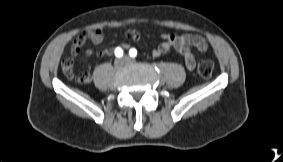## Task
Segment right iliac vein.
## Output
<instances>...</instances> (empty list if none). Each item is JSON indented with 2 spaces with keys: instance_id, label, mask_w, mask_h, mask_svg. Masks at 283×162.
I'll return each instance as SVG.
<instances>
[{
  "instance_id": "1",
  "label": "right iliac vein",
  "mask_w": 283,
  "mask_h": 162,
  "mask_svg": "<svg viewBox=\"0 0 283 162\" xmlns=\"http://www.w3.org/2000/svg\"><path fill=\"white\" fill-rule=\"evenodd\" d=\"M125 64V61L123 59H118L115 61V67L117 69L122 68Z\"/></svg>"
}]
</instances>
